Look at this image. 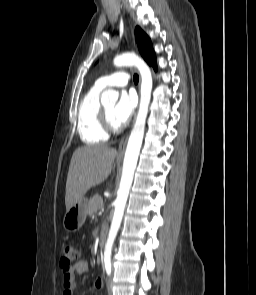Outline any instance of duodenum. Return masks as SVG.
Masks as SVG:
<instances>
[{"instance_id": "1", "label": "duodenum", "mask_w": 256, "mask_h": 295, "mask_svg": "<svg viewBox=\"0 0 256 295\" xmlns=\"http://www.w3.org/2000/svg\"><path fill=\"white\" fill-rule=\"evenodd\" d=\"M107 238V228L102 227L99 233L98 245L99 247H103Z\"/></svg>"}]
</instances>
